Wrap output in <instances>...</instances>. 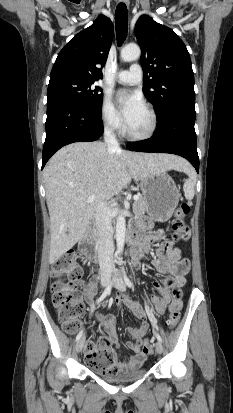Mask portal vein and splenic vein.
I'll return each instance as SVG.
<instances>
[{
  "mask_svg": "<svg viewBox=\"0 0 233 413\" xmlns=\"http://www.w3.org/2000/svg\"><path fill=\"white\" fill-rule=\"evenodd\" d=\"M138 198H139L138 195H134V196H133V199H134L135 201L138 200ZM95 199H96V196H94V195L89 196L88 199H87V202H93Z\"/></svg>",
  "mask_w": 233,
  "mask_h": 413,
  "instance_id": "portal-vein-and-splenic-vein-1",
  "label": "portal vein and splenic vein"
}]
</instances>
